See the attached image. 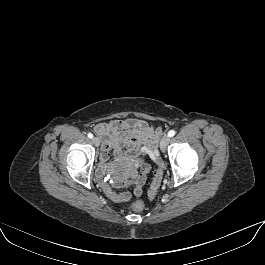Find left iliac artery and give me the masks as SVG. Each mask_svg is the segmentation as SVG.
Here are the masks:
<instances>
[{
	"instance_id": "1",
	"label": "left iliac artery",
	"mask_w": 265,
	"mask_h": 265,
	"mask_svg": "<svg viewBox=\"0 0 265 265\" xmlns=\"http://www.w3.org/2000/svg\"><path fill=\"white\" fill-rule=\"evenodd\" d=\"M175 131L174 130H170L169 132H168V136L169 137H173L174 135H175Z\"/></svg>"
}]
</instances>
